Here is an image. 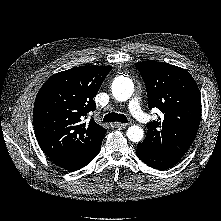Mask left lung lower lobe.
Instances as JSON below:
<instances>
[{"label":"left lung lower lobe","instance_id":"1","mask_svg":"<svg viewBox=\"0 0 221 221\" xmlns=\"http://www.w3.org/2000/svg\"><path fill=\"white\" fill-rule=\"evenodd\" d=\"M136 154L148 166L158 170L170 168L180 161V159L158 153L142 143L138 144Z\"/></svg>","mask_w":221,"mask_h":221}]
</instances>
